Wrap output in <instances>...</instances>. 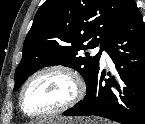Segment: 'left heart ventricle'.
Instances as JSON below:
<instances>
[{"label": "left heart ventricle", "instance_id": "1", "mask_svg": "<svg viewBox=\"0 0 145 124\" xmlns=\"http://www.w3.org/2000/svg\"><path fill=\"white\" fill-rule=\"evenodd\" d=\"M74 92L71 79L58 72L38 77L24 94V108L31 113L45 112L66 102Z\"/></svg>", "mask_w": 145, "mask_h": 124}]
</instances>
